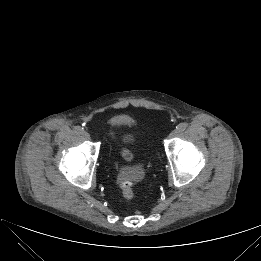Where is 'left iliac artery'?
Here are the masks:
<instances>
[{
    "mask_svg": "<svg viewBox=\"0 0 261 261\" xmlns=\"http://www.w3.org/2000/svg\"><path fill=\"white\" fill-rule=\"evenodd\" d=\"M187 128V124L186 123H180L179 125H177L176 129L179 131V132H183L184 130H186Z\"/></svg>",
    "mask_w": 261,
    "mask_h": 261,
    "instance_id": "1",
    "label": "left iliac artery"
}]
</instances>
